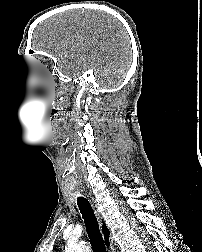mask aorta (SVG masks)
Instances as JSON below:
<instances>
[{
    "label": "aorta",
    "instance_id": "762f6f07",
    "mask_svg": "<svg viewBox=\"0 0 202 252\" xmlns=\"http://www.w3.org/2000/svg\"><path fill=\"white\" fill-rule=\"evenodd\" d=\"M65 252H91L90 248L85 244H67Z\"/></svg>",
    "mask_w": 202,
    "mask_h": 252
}]
</instances>
